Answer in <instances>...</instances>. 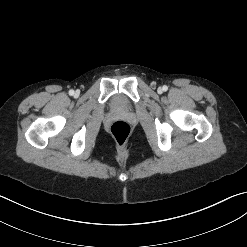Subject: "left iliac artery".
I'll return each mask as SVG.
<instances>
[{"label":"left iliac artery","mask_w":247,"mask_h":247,"mask_svg":"<svg viewBox=\"0 0 247 247\" xmlns=\"http://www.w3.org/2000/svg\"><path fill=\"white\" fill-rule=\"evenodd\" d=\"M162 89H163V91H167V90H168V87H167L166 85H164V86L162 87Z\"/></svg>","instance_id":"44dca946"}]
</instances>
